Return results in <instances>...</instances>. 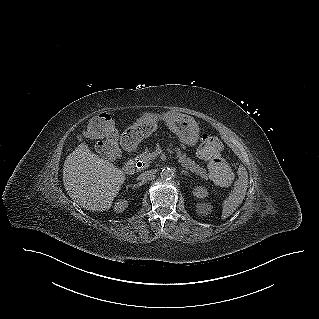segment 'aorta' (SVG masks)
Segmentation results:
<instances>
[{
	"instance_id": "obj_1",
	"label": "aorta",
	"mask_w": 319,
	"mask_h": 319,
	"mask_svg": "<svg viewBox=\"0 0 319 319\" xmlns=\"http://www.w3.org/2000/svg\"><path fill=\"white\" fill-rule=\"evenodd\" d=\"M160 175L163 180H170L173 177V171L171 168H168V167L163 168Z\"/></svg>"
}]
</instances>
